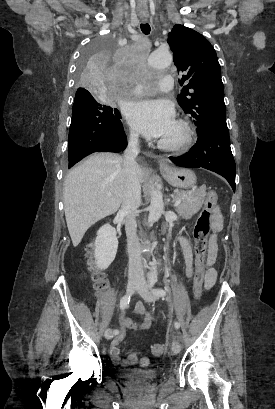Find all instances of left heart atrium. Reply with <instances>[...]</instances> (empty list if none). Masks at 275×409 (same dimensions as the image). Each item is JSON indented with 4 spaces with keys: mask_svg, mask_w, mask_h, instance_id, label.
Instances as JSON below:
<instances>
[{
    "mask_svg": "<svg viewBox=\"0 0 275 409\" xmlns=\"http://www.w3.org/2000/svg\"><path fill=\"white\" fill-rule=\"evenodd\" d=\"M127 119L145 136L159 139L174 125L173 108L160 100L130 102L125 106Z\"/></svg>",
    "mask_w": 275,
    "mask_h": 409,
    "instance_id": "left-heart-atrium-1",
    "label": "left heart atrium"
}]
</instances>
